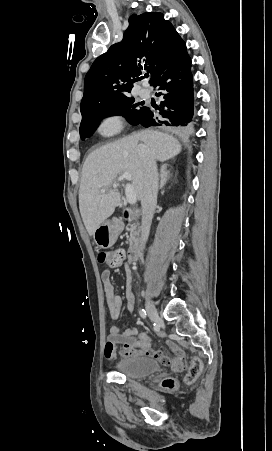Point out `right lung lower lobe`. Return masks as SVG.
I'll list each match as a JSON object with an SVG mask.
<instances>
[{"instance_id": "right-lung-lower-lobe-1", "label": "right lung lower lobe", "mask_w": 272, "mask_h": 451, "mask_svg": "<svg viewBox=\"0 0 272 451\" xmlns=\"http://www.w3.org/2000/svg\"><path fill=\"white\" fill-rule=\"evenodd\" d=\"M160 92L162 102L160 117L147 108L143 118L136 124L144 127L167 126L179 133H188L195 121L193 78L191 73V58L187 53L176 59L171 65L160 72L152 84Z\"/></svg>"}]
</instances>
